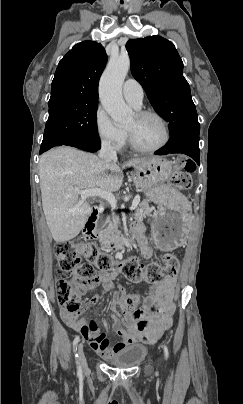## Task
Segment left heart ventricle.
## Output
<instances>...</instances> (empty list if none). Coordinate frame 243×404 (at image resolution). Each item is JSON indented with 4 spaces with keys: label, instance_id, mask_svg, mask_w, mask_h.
I'll return each mask as SVG.
<instances>
[{
    "label": "left heart ventricle",
    "instance_id": "obj_1",
    "mask_svg": "<svg viewBox=\"0 0 243 404\" xmlns=\"http://www.w3.org/2000/svg\"><path fill=\"white\" fill-rule=\"evenodd\" d=\"M133 138L144 147H154L163 142L165 130L162 122L154 115L133 114L125 124Z\"/></svg>",
    "mask_w": 243,
    "mask_h": 404
}]
</instances>
